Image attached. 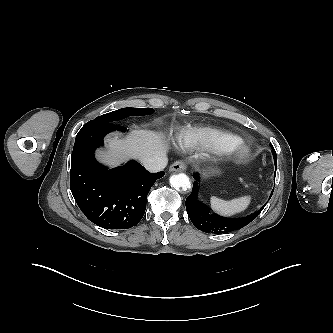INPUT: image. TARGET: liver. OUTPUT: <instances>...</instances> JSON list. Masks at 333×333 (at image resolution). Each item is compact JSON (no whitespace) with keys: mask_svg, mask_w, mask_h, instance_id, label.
Listing matches in <instances>:
<instances>
[{"mask_svg":"<svg viewBox=\"0 0 333 333\" xmlns=\"http://www.w3.org/2000/svg\"><path fill=\"white\" fill-rule=\"evenodd\" d=\"M109 151L98 152V159L110 166L118 165L127 157L138 160L153 156H165L167 144L164 135L147 130H135L126 138L110 136L106 139Z\"/></svg>","mask_w":333,"mask_h":333,"instance_id":"1","label":"liver"}]
</instances>
